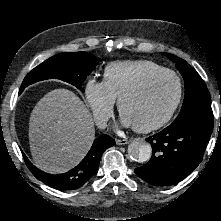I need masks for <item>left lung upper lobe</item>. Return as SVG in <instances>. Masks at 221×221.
<instances>
[{
    "mask_svg": "<svg viewBox=\"0 0 221 221\" xmlns=\"http://www.w3.org/2000/svg\"><path fill=\"white\" fill-rule=\"evenodd\" d=\"M165 55L176 63L185 82L183 105L180 114L173 123L180 121L184 116L193 112L212 113L210 93L197 71L185 60L169 53H165Z\"/></svg>",
    "mask_w": 221,
    "mask_h": 221,
    "instance_id": "obj_1",
    "label": "left lung upper lobe"
}]
</instances>
